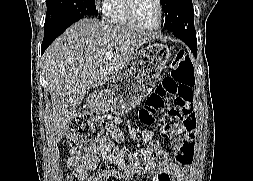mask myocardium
I'll use <instances>...</instances> for the list:
<instances>
[{"instance_id": "f54148a6", "label": "myocardium", "mask_w": 253, "mask_h": 181, "mask_svg": "<svg viewBox=\"0 0 253 181\" xmlns=\"http://www.w3.org/2000/svg\"><path fill=\"white\" fill-rule=\"evenodd\" d=\"M158 4V9H159V15H158V20L156 24L152 26H147L142 24L136 17L135 15V0H125V12L126 16L129 20V22L136 28L146 30V31H153L157 30L161 27L163 23V18H164V5L162 0H157Z\"/></svg>"}]
</instances>
